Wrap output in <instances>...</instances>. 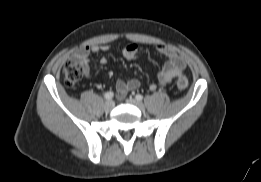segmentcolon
Here are the masks:
<instances>
[{"instance_id": "obj_1", "label": "colon", "mask_w": 261, "mask_h": 182, "mask_svg": "<svg viewBox=\"0 0 261 182\" xmlns=\"http://www.w3.org/2000/svg\"><path fill=\"white\" fill-rule=\"evenodd\" d=\"M82 74V68L77 62H68L63 68L64 82L67 86H75ZM176 85L179 89H185L188 86V80L185 76H178L176 80Z\"/></svg>"}]
</instances>
